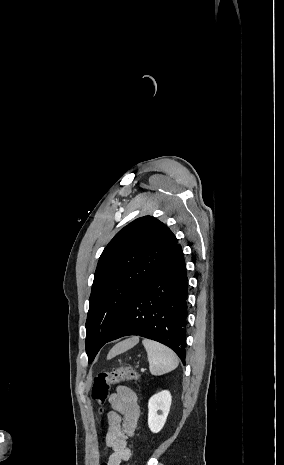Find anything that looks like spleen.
<instances>
[{"label": "spleen", "instance_id": "obj_1", "mask_svg": "<svg viewBox=\"0 0 284 465\" xmlns=\"http://www.w3.org/2000/svg\"><path fill=\"white\" fill-rule=\"evenodd\" d=\"M142 343L147 351L151 375H165L178 367V357L171 349L149 339H144Z\"/></svg>", "mask_w": 284, "mask_h": 465}]
</instances>
